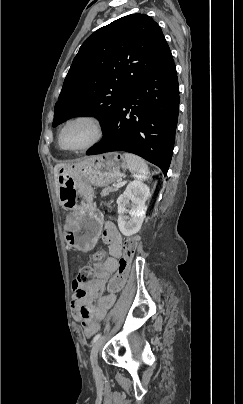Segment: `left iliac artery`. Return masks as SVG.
Listing matches in <instances>:
<instances>
[{"mask_svg": "<svg viewBox=\"0 0 243 404\" xmlns=\"http://www.w3.org/2000/svg\"><path fill=\"white\" fill-rule=\"evenodd\" d=\"M101 338V333H99V334H97L94 338H93V340H92V343H95L98 339H100Z\"/></svg>", "mask_w": 243, "mask_h": 404, "instance_id": "left-iliac-artery-1", "label": "left iliac artery"}]
</instances>
